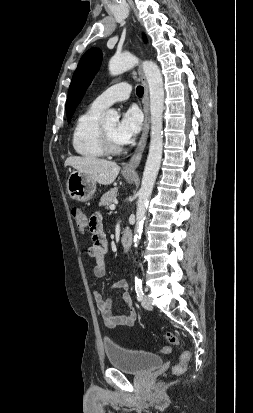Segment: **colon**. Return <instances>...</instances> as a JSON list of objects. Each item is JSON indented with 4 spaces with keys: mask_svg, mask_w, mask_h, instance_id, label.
<instances>
[{
    "mask_svg": "<svg viewBox=\"0 0 253 413\" xmlns=\"http://www.w3.org/2000/svg\"><path fill=\"white\" fill-rule=\"evenodd\" d=\"M71 216L77 227L81 230L84 231L87 226H88V220L86 215L79 209V208H72L71 210ZM166 339L171 345H179L180 340L179 338L172 332H167L166 333ZM162 351L165 353H169L171 351V348L168 346H165L162 348ZM190 360V353L188 351H185L181 354L179 362L173 367V373L174 374H181L184 372L187 363Z\"/></svg>",
    "mask_w": 253,
    "mask_h": 413,
    "instance_id": "5ec220e1",
    "label": "colon"
}]
</instances>
